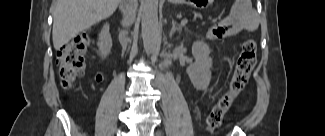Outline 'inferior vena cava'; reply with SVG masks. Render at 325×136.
<instances>
[{
	"mask_svg": "<svg viewBox=\"0 0 325 136\" xmlns=\"http://www.w3.org/2000/svg\"><path fill=\"white\" fill-rule=\"evenodd\" d=\"M120 10L123 13L122 25L124 27L131 26L136 18V10H137V1L136 0H123L120 5ZM127 42H123V49L126 48Z\"/></svg>",
	"mask_w": 325,
	"mask_h": 136,
	"instance_id": "obj_1",
	"label": "inferior vena cava"
}]
</instances>
